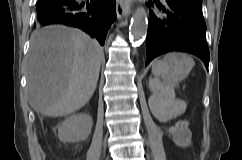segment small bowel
I'll return each instance as SVG.
<instances>
[{
	"label": "small bowel",
	"mask_w": 242,
	"mask_h": 160,
	"mask_svg": "<svg viewBox=\"0 0 242 160\" xmlns=\"http://www.w3.org/2000/svg\"><path fill=\"white\" fill-rule=\"evenodd\" d=\"M175 139L177 144L181 147H187L190 144L191 133L187 122L183 121L177 125V129L175 131Z\"/></svg>",
	"instance_id": "small-bowel-1"
}]
</instances>
